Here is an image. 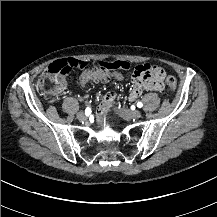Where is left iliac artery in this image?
Masks as SVG:
<instances>
[{"label": "left iliac artery", "instance_id": "obj_1", "mask_svg": "<svg viewBox=\"0 0 217 217\" xmlns=\"http://www.w3.org/2000/svg\"><path fill=\"white\" fill-rule=\"evenodd\" d=\"M143 106V103L142 102H138L137 103V107L141 108Z\"/></svg>", "mask_w": 217, "mask_h": 217}]
</instances>
